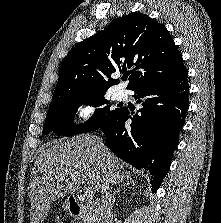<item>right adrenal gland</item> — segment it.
Masks as SVG:
<instances>
[{"instance_id": "2a0ac1e0", "label": "right adrenal gland", "mask_w": 221, "mask_h": 223, "mask_svg": "<svg viewBox=\"0 0 221 223\" xmlns=\"http://www.w3.org/2000/svg\"><path fill=\"white\" fill-rule=\"evenodd\" d=\"M125 186H135V183L132 181L131 178H127L126 182H123L121 185L119 184L112 195V204L113 205L115 204L116 194H118L121 190H123Z\"/></svg>"}]
</instances>
